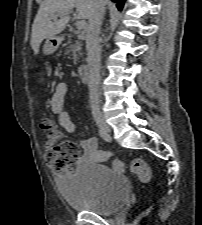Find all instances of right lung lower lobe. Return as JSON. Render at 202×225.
Here are the masks:
<instances>
[{"label": "right lung lower lobe", "mask_w": 202, "mask_h": 225, "mask_svg": "<svg viewBox=\"0 0 202 225\" xmlns=\"http://www.w3.org/2000/svg\"><path fill=\"white\" fill-rule=\"evenodd\" d=\"M112 1L117 3V7L119 10L122 9L124 2H125V0H112Z\"/></svg>", "instance_id": "1"}]
</instances>
